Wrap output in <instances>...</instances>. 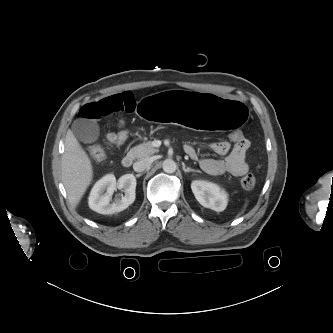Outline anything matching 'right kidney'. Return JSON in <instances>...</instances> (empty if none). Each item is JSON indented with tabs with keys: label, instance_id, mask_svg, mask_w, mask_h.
<instances>
[{
	"label": "right kidney",
	"instance_id": "right-kidney-1",
	"mask_svg": "<svg viewBox=\"0 0 333 333\" xmlns=\"http://www.w3.org/2000/svg\"><path fill=\"white\" fill-rule=\"evenodd\" d=\"M116 187L125 193L122 198L111 202V196ZM136 178L133 174H126L116 178L112 174L105 175L97 181L89 196V207L100 214H114L123 211L135 201Z\"/></svg>",
	"mask_w": 333,
	"mask_h": 333
}]
</instances>
